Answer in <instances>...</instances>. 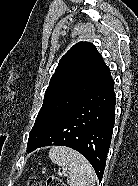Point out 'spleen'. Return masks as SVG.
Listing matches in <instances>:
<instances>
[{"instance_id": "3e777b00", "label": "spleen", "mask_w": 138, "mask_h": 186, "mask_svg": "<svg viewBox=\"0 0 138 186\" xmlns=\"http://www.w3.org/2000/svg\"><path fill=\"white\" fill-rule=\"evenodd\" d=\"M51 161L68 171L69 186H94L95 173L90 163L77 151L54 146L49 151Z\"/></svg>"}]
</instances>
